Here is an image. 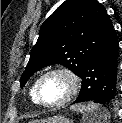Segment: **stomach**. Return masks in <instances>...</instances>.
<instances>
[{"mask_svg": "<svg viewBox=\"0 0 122 123\" xmlns=\"http://www.w3.org/2000/svg\"><path fill=\"white\" fill-rule=\"evenodd\" d=\"M45 123H73L72 120L64 118L63 116H55L49 118Z\"/></svg>", "mask_w": 122, "mask_h": 123, "instance_id": "0dacf381", "label": "stomach"}]
</instances>
